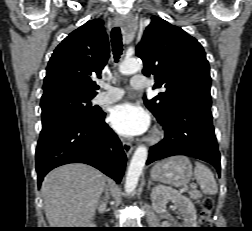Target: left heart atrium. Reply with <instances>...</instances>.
I'll list each match as a JSON object with an SVG mask.
<instances>
[{
  "mask_svg": "<svg viewBox=\"0 0 252 231\" xmlns=\"http://www.w3.org/2000/svg\"><path fill=\"white\" fill-rule=\"evenodd\" d=\"M109 122L117 133L131 137L144 134L149 128L150 118L142 108L126 102L111 110Z\"/></svg>",
  "mask_w": 252,
  "mask_h": 231,
  "instance_id": "obj_1",
  "label": "left heart atrium"
}]
</instances>
